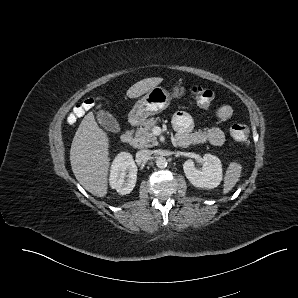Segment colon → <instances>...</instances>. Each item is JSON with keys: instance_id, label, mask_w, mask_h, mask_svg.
Returning <instances> with one entry per match:
<instances>
[{"instance_id": "1", "label": "colon", "mask_w": 298, "mask_h": 298, "mask_svg": "<svg viewBox=\"0 0 298 298\" xmlns=\"http://www.w3.org/2000/svg\"><path fill=\"white\" fill-rule=\"evenodd\" d=\"M190 92L195 100V102L202 107H206L211 104L214 99V93L212 90L206 87L193 85L190 88ZM96 105V100L88 99L77 105L69 115V121L74 122L78 118L84 116ZM231 136L233 139L239 143H247L250 137V130L246 124L236 123L231 126L230 129Z\"/></svg>"}]
</instances>
